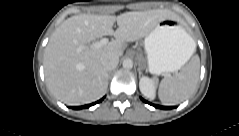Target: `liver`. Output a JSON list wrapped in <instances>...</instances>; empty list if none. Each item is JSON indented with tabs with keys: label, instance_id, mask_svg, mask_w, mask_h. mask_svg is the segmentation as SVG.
I'll use <instances>...</instances> for the list:
<instances>
[{
	"label": "liver",
	"instance_id": "6515ba94",
	"mask_svg": "<svg viewBox=\"0 0 239 136\" xmlns=\"http://www.w3.org/2000/svg\"><path fill=\"white\" fill-rule=\"evenodd\" d=\"M167 18L170 10L125 12L119 16L81 14L72 16L53 32L44 52V74L48 89L67 105H82L100 99L107 91L108 71L102 59L123 55L125 42L148 35ZM118 28L113 30L114 23ZM114 36L107 45L92 44L103 36Z\"/></svg>",
	"mask_w": 239,
	"mask_h": 136
}]
</instances>
